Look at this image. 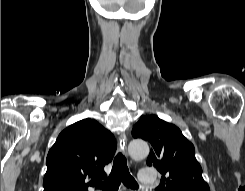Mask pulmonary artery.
Listing matches in <instances>:
<instances>
[{
    "label": "pulmonary artery",
    "mask_w": 245,
    "mask_h": 191,
    "mask_svg": "<svg viewBox=\"0 0 245 191\" xmlns=\"http://www.w3.org/2000/svg\"><path fill=\"white\" fill-rule=\"evenodd\" d=\"M139 179L142 185L153 186L156 183V174L151 167L141 169L139 172Z\"/></svg>",
    "instance_id": "e3ab8cb5"
}]
</instances>
